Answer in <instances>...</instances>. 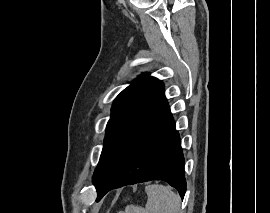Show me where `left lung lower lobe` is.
<instances>
[{
  "mask_svg": "<svg viewBox=\"0 0 270 213\" xmlns=\"http://www.w3.org/2000/svg\"><path fill=\"white\" fill-rule=\"evenodd\" d=\"M180 137L167 100L128 139L96 187L100 200L108 191L150 180H163L183 198L186 192Z\"/></svg>",
  "mask_w": 270,
  "mask_h": 213,
  "instance_id": "1",
  "label": "left lung lower lobe"
}]
</instances>
